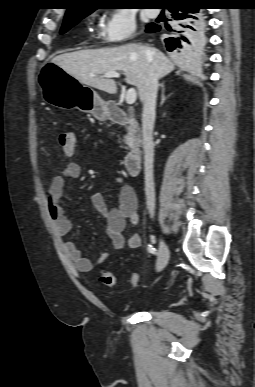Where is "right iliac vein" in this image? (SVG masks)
Segmentation results:
<instances>
[{
    "mask_svg": "<svg viewBox=\"0 0 255 387\" xmlns=\"http://www.w3.org/2000/svg\"><path fill=\"white\" fill-rule=\"evenodd\" d=\"M169 257H170V252H169L168 245L161 238L160 239L159 255H158V260H157V265H156L157 272L162 271L166 267V265L169 261Z\"/></svg>",
    "mask_w": 255,
    "mask_h": 387,
    "instance_id": "63e3f726",
    "label": "right iliac vein"
}]
</instances>
